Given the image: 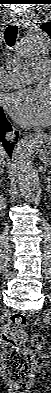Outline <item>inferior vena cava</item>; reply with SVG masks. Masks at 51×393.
<instances>
[{"instance_id":"602c4592","label":"inferior vena cava","mask_w":51,"mask_h":393,"mask_svg":"<svg viewBox=\"0 0 51 393\" xmlns=\"http://www.w3.org/2000/svg\"><path fill=\"white\" fill-rule=\"evenodd\" d=\"M6 138L10 141H13V139L15 138V135L13 133H7ZM6 160H7V157L4 153V151L0 150V162L4 163V162H6Z\"/></svg>"}]
</instances>
